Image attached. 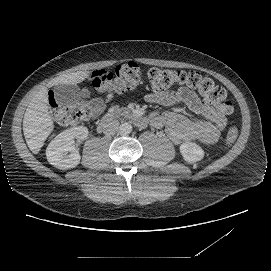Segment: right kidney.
<instances>
[{"mask_svg": "<svg viewBox=\"0 0 271 271\" xmlns=\"http://www.w3.org/2000/svg\"><path fill=\"white\" fill-rule=\"evenodd\" d=\"M88 129L83 126L73 127L58 134L46 149L47 160L58 169L74 168L80 163V154L75 146L77 142L85 140Z\"/></svg>", "mask_w": 271, "mask_h": 271, "instance_id": "right-kidney-1", "label": "right kidney"}]
</instances>
